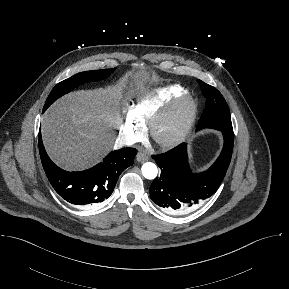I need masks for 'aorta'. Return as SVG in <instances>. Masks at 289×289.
I'll return each mask as SVG.
<instances>
[{
  "label": "aorta",
  "instance_id": "1",
  "mask_svg": "<svg viewBox=\"0 0 289 289\" xmlns=\"http://www.w3.org/2000/svg\"><path fill=\"white\" fill-rule=\"evenodd\" d=\"M142 174L146 179H154L158 174L157 166L152 162H146L142 166Z\"/></svg>",
  "mask_w": 289,
  "mask_h": 289
}]
</instances>
